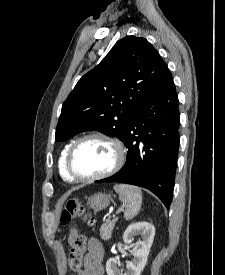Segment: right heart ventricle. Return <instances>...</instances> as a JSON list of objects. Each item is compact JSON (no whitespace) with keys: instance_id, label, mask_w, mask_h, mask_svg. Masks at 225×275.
Returning <instances> with one entry per match:
<instances>
[{"instance_id":"1","label":"right heart ventricle","mask_w":225,"mask_h":275,"mask_svg":"<svg viewBox=\"0 0 225 275\" xmlns=\"http://www.w3.org/2000/svg\"><path fill=\"white\" fill-rule=\"evenodd\" d=\"M70 145L71 144H67L63 148V150H62V152L60 154L59 160H58L59 174H60V176L62 177L63 180L68 181V182L73 181V178L69 175V173L66 170V166H65L66 155H67V151H68Z\"/></svg>"}]
</instances>
